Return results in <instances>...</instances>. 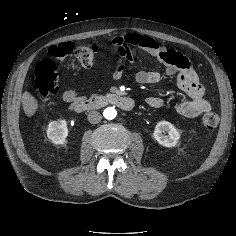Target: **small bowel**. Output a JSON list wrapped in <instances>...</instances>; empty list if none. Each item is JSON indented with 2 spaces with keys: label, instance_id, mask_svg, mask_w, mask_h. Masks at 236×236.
Returning a JSON list of instances; mask_svg holds the SVG:
<instances>
[{
  "label": "small bowel",
  "instance_id": "small-bowel-1",
  "mask_svg": "<svg viewBox=\"0 0 236 236\" xmlns=\"http://www.w3.org/2000/svg\"><path fill=\"white\" fill-rule=\"evenodd\" d=\"M112 44L122 60L129 64L135 62L132 48L138 47L165 65L166 74L174 77L175 85L189 96L188 100L181 101L176 106V111L180 115L194 118L211 109V104L205 97V89L189 59L180 52L165 48L153 38L136 33L117 36L112 40ZM124 70L125 65L120 64L113 73V79H120ZM135 80L139 84H154L161 80V74L157 71L140 70L135 74ZM60 98L71 110H74L76 103L82 99L75 90L64 91ZM146 103L153 108H159L164 102L159 97L151 96L146 99Z\"/></svg>",
  "mask_w": 236,
  "mask_h": 236
}]
</instances>
